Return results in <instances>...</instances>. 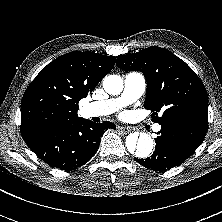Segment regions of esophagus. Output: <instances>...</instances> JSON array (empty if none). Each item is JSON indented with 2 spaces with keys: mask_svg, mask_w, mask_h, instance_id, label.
I'll use <instances>...</instances> for the list:
<instances>
[{
  "mask_svg": "<svg viewBox=\"0 0 222 222\" xmlns=\"http://www.w3.org/2000/svg\"><path fill=\"white\" fill-rule=\"evenodd\" d=\"M118 131L123 133V134H128L129 132H131V128L124 127V126H119Z\"/></svg>",
  "mask_w": 222,
  "mask_h": 222,
  "instance_id": "1",
  "label": "esophagus"
}]
</instances>
